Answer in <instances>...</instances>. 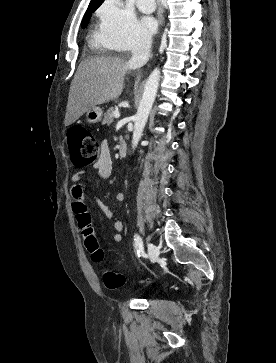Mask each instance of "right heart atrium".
<instances>
[{
  "label": "right heart atrium",
  "instance_id": "obj_1",
  "mask_svg": "<svg viewBox=\"0 0 276 363\" xmlns=\"http://www.w3.org/2000/svg\"><path fill=\"white\" fill-rule=\"evenodd\" d=\"M100 31L119 50H130L149 42L132 9L121 0H106L100 11Z\"/></svg>",
  "mask_w": 276,
  "mask_h": 363
}]
</instances>
